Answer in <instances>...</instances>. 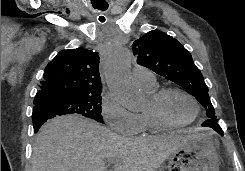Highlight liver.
<instances>
[{"label":"liver","mask_w":245,"mask_h":171,"mask_svg":"<svg viewBox=\"0 0 245 171\" xmlns=\"http://www.w3.org/2000/svg\"><path fill=\"white\" fill-rule=\"evenodd\" d=\"M193 136L160 134L136 138L119 136L78 115L56 117L39 130L31 171H157L164 161Z\"/></svg>","instance_id":"liver-1"}]
</instances>
